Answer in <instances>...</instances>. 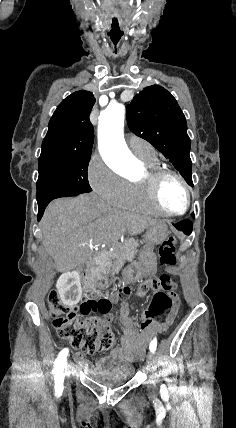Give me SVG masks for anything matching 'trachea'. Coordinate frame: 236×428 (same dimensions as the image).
<instances>
[{
  "mask_svg": "<svg viewBox=\"0 0 236 428\" xmlns=\"http://www.w3.org/2000/svg\"><path fill=\"white\" fill-rule=\"evenodd\" d=\"M122 21H121V15L119 13H114L112 15V21L110 24V30H109V40L110 45L112 46L114 51L120 50V45L122 41L124 40L123 35V29L121 27Z\"/></svg>",
  "mask_w": 236,
  "mask_h": 428,
  "instance_id": "trachea-1",
  "label": "trachea"
}]
</instances>
